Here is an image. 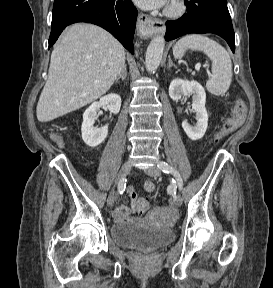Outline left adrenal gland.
<instances>
[{
    "mask_svg": "<svg viewBox=\"0 0 273 288\" xmlns=\"http://www.w3.org/2000/svg\"><path fill=\"white\" fill-rule=\"evenodd\" d=\"M173 66H174L175 68H177L176 65L173 64L171 58L169 57V59H168V69H170V68L173 67Z\"/></svg>",
    "mask_w": 273,
    "mask_h": 288,
    "instance_id": "left-adrenal-gland-1",
    "label": "left adrenal gland"
}]
</instances>
